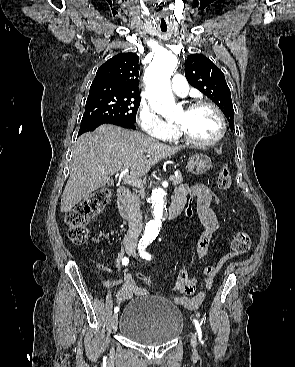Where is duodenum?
I'll list each match as a JSON object with an SVG mask.
<instances>
[{"label": "duodenum", "mask_w": 295, "mask_h": 367, "mask_svg": "<svg viewBox=\"0 0 295 367\" xmlns=\"http://www.w3.org/2000/svg\"><path fill=\"white\" fill-rule=\"evenodd\" d=\"M117 207L120 215L125 219H131L134 216V210L130 201V191L127 187L121 186L117 190ZM184 203L179 200H173L169 206V217L175 218L183 210Z\"/></svg>", "instance_id": "obj_1"}]
</instances>
